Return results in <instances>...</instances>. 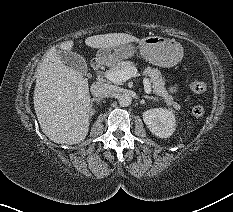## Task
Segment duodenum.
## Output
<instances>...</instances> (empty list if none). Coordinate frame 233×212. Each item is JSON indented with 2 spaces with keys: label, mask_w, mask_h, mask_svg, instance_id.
Segmentation results:
<instances>
[{
  "label": "duodenum",
  "mask_w": 233,
  "mask_h": 212,
  "mask_svg": "<svg viewBox=\"0 0 233 212\" xmlns=\"http://www.w3.org/2000/svg\"><path fill=\"white\" fill-rule=\"evenodd\" d=\"M103 61L100 58H95L91 61V67L95 70L98 71L100 67L102 66Z\"/></svg>",
  "instance_id": "duodenum-1"
}]
</instances>
